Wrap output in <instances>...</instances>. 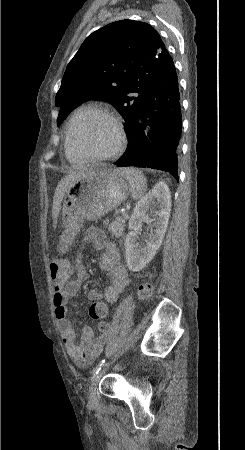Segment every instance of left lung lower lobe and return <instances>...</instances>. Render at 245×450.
<instances>
[{
	"label": "left lung lower lobe",
	"mask_w": 245,
	"mask_h": 450,
	"mask_svg": "<svg viewBox=\"0 0 245 450\" xmlns=\"http://www.w3.org/2000/svg\"><path fill=\"white\" fill-rule=\"evenodd\" d=\"M181 123L178 79L170 58L135 118L128 135L127 151L115 164L117 167L137 166L167 171L178 180Z\"/></svg>",
	"instance_id": "obj_1"
}]
</instances>
